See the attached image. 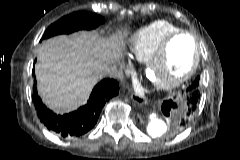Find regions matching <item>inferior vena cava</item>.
<instances>
[{
    "label": "inferior vena cava",
    "mask_w": 240,
    "mask_h": 160,
    "mask_svg": "<svg viewBox=\"0 0 240 160\" xmlns=\"http://www.w3.org/2000/svg\"><path fill=\"white\" fill-rule=\"evenodd\" d=\"M100 75L103 77H117L118 70L115 65L112 66H105L101 72Z\"/></svg>",
    "instance_id": "602c4592"
}]
</instances>
